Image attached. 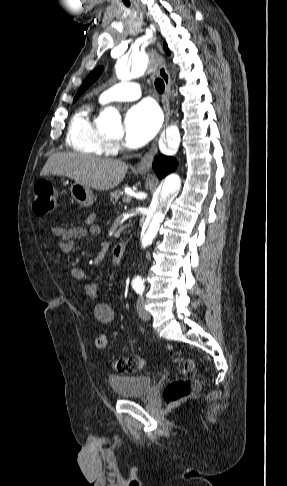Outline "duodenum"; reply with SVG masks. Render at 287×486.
<instances>
[{
  "instance_id": "duodenum-1",
  "label": "duodenum",
  "mask_w": 287,
  "mask_h": 486,
  "mask_svg": "<svg viewBox=\"0 0 287 486\" xmlns=\"http://www.w3.org/2000/svg\"><path fill=\"white\" fill-rule=\"evenodd\" d=\"M127 251V243L126 242H120L118 243L115 248H114V256L118 259H122Z\"/></svg>"
}]
</instances>
